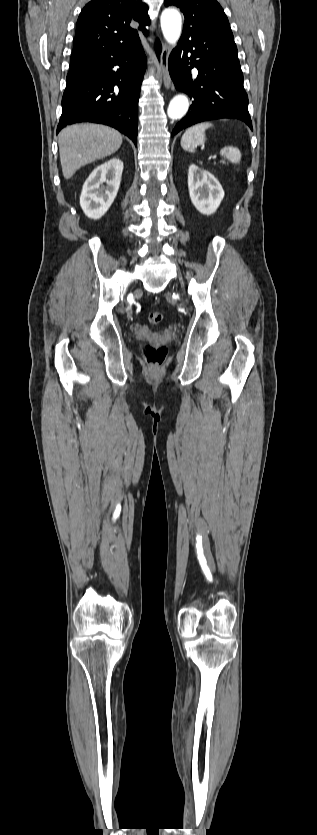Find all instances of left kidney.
Instances as JSON below:
<instances>
[{
  "label": "left kidney",
  "instance_id": "left-kidney-1",
  "mask_svg": "<svg viewBox=\"0 0 317 835\" xmlns=\"http://www.w3.org/2000/svg\"><path fill=\"white\" fill-rule=\"evenodd\" d=\"M188 189L195 208L204 215L216 212L224 198L219 181L207 170L192 164L188 170Z\"/></svg>",
  "mask_w": 317,
  "mask_h": 835
}]
</instances>
